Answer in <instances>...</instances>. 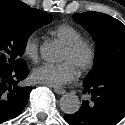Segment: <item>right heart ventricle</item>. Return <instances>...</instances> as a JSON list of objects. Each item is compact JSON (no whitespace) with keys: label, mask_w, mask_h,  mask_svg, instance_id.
<instances>
[{"label":"right heart ventricle","mask_w":125,"mask_h":125,"mask_svg":"<svg viewBox=\"0 0 125 125\" xmlns=\"http://www.w3.org/2000/svg\"><path fill=\"white\" fill-rule=\"evenodd\" d=\"M54 34L66 45L77 39L82 38L79 30L71 25L62 24L55 28Z\"/></svg>","instance_id":"e07e8e85"}]
</instances>
